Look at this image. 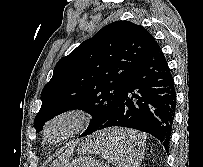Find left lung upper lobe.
I'll return each instance as SVG.
<instances>
[{"label":"left lung upper lobe","mask_w":203,"mask_h":167,"mask_svg":"<svg viewBox=\"0 0 203 167\" xmlns=\"http://www.w3.org/2000/svg\"><path fill=\"white\" fill-rule=\"evenodd\" d=\"M157 44L149 32L130 21L106 25L61 58L41 93L34 119L39 132L46 121L72 109L92 116L88 135L113 114L133 69Z\"/></svg>","instance_id":"5c2ea615"}]
</instances>
